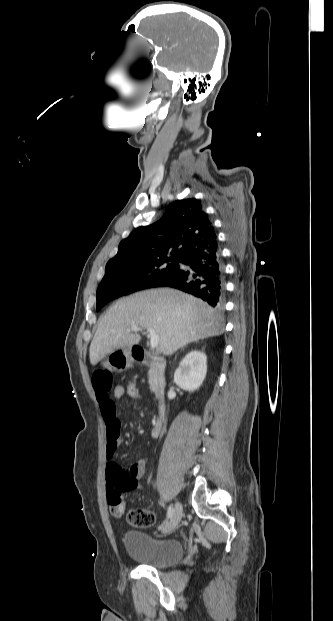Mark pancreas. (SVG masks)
Segmentation results:
<instances>
[{
	"label": "pancreas",
	"mask_w": 333,
	"mask_h": 621,
	"mask_svg": "<svg viewBox=\"0 0 333 621\" xmlns=\"http://www.w3.org/2000/svg\"><path fill=\"white\" fill-rule=\"evenodd\" d=\"M157 378H158L157 372L155 370H150L149 371V386L152 391L156 390Z\"/></svg>",
	"instance_id": "cf45deb5"
}]
</instances>
